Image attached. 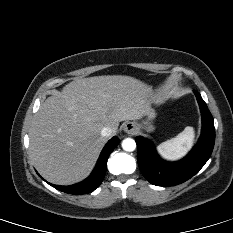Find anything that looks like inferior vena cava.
I'll return each mask as SVG.
<instances>
[{"label":"inferior vena cava","mask_w":233,"mask_h":233,"mask_svg":"<svg viewBox=\"0 0 233 233\" xmlns=\"http://www.w3.org/2000/svg\"><path fill=\"white\" fill-rule=\"evenodd\" d=\"M113 133L112 129L110 127H104L102 130H101V135L103 137H109L111 136Z\"/></svg>","instance_id":"602c4592"}]
</instances>
